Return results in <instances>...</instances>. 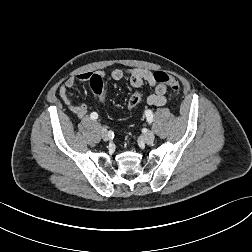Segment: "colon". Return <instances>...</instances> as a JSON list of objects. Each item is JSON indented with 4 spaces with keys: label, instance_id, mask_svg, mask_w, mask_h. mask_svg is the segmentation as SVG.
Instances as JSON below:
<instances>
[{
    "label": "colon",
    "instance_id": "obj_1",
    "mask_svg": "<svg viewBox=\"0 0 252 252\" xmlns=\"http://www.w3.org/2000/svg\"><path fill=\"white\" fill-rule=\"evenodd\" d=\"M154 79L157 83L164 84L165 86L171 88L174 91L178 90L180 87L179 82L175 77L170 76L164 72H155ZM89 85L96 97L102 103L106 104L108 100V93L102 77L98 74L92 75L89 79ZM142 99L143 96L140 92L133 93L126 102V109L132 110L136 108L142 102Z\"/></svg>",
    "mask_w": 252,
    "mask_h": 252
}]
</instances>
